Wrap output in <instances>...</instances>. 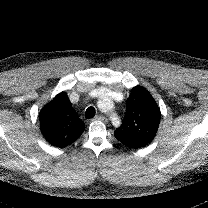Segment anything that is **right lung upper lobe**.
Instances as JSON below:
<instances>
[{
    "label": "right lung upper lobe",
    "instance_id": "right-lung-upper-lobe-1",
    "mask_svg": "<svg viewBox=\"0 0 208 208\" xmlns=\"http://www.w3.org/2000/svg\"><path fill=\"white\" fill-rule=\"evenodd\" d=\"M39 121L44 138L55 147L72 144L85 129L66 92L59 93L42 108Z\"/></svg>",
    "mask_w": 208,
    "mask_h": 208
}]
</instances>
